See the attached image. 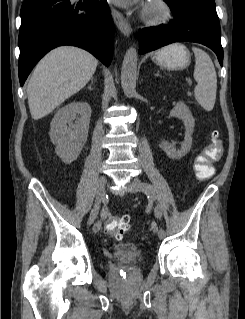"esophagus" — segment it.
<instances>
[{
    "instance_id": "esophagus-1",
    "label": "esophagus",
    "mask_w": 245,
    "mask_h": 319,
    "mask_svg": "<svg viewBox=\"0 0 245 319\" xmlns=\"http://www.w3.org/2000/svg\"><path fill=\"white\" fill-rule=\"evenodd\" d=\"M111 13L113 20L118 29L121 31V33L129 37L132 32V28L129 21L118 10H116L113 7L111 8Z\"/></svg>"
}]
</instances>
